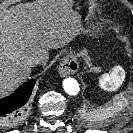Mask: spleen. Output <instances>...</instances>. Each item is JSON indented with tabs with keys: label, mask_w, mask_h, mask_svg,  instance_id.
I'll return each instance as SVG.
<instances>
[{
	"label": "spleen",
	"mask_w": 133,
	"mask_h": 133,
	"mask_svg": "<svg viewBox=\"0 0 133 133\" xmlns=\"http://www.w3.org/2000/svg\"><path fill=\"white\" fill-rule=\"evenodd\" d=\"M104 77H105V79H107V78L110 79V76H109L108 74L104 75ZM111 78H112V76H111ZM113 78H114V77H113ZM123 103H124L123 101H119V102H118V106H119L120 108H122L123 105H124Z\"/></svg>",
	"instance_id": "1"
}]
</instances>
